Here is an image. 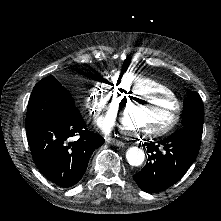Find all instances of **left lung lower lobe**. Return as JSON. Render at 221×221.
<instances>
[{"mask_svg":"<svg viewBox=\"0 0 221 221\" xmlns=\"http://www.w3.org/2000/svg\"><path fill=\"white\" fill-rule=\"evenodd\" d=\"M201 136L196 131L181 128L158 144L145 143L151 153L150 162L133 176L137 185L145 192L155 193L177 183L196 159Z\"/></svg>","mask_w":221,"mask_h":221,"instance_id":"left-lung-lower-lobe-1","label":"left lung lower lobe"}]
</instances>
